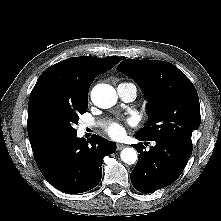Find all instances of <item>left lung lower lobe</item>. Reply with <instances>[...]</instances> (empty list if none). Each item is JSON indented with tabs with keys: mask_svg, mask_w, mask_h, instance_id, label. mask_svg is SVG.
Instances as JSON below:
<instances>
[{
	"mask_svg": "<svg viewBox=\"0 0 221 221\" xmlns=\"http://www.w3.org/2000/svg\"><path fill=\"white\" fill-rule=\"evenodd\" d=\"M135 137L140 141L156 142L149 151L143 150L142 143L134 146L139 153L138 162L130 175L135 189L142 193H152L175 182L184 170L192 150L168 139Z\"/></svg>",
	"mask_w": 221,
	"mask_h": 221,
	"instance_id": "left-lung-lower-lobe-1",
	"label": "left lung lower lobe"
}]
</instances>
